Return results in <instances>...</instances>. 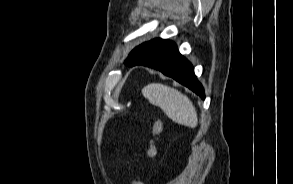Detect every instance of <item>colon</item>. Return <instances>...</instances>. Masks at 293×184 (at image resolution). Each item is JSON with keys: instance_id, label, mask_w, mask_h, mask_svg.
<instances>
[{"instance_id": "1", "label": "colon", "mask_w": 293, "mask_h": 184, "mask_svg": "<svg viewBox=\"0 0 293 184\" xmlns=\"http://www.w3.org/2000/svg\"><path fill=\"white\" fill-rule=\"evenodd\" d=\"M143 118L153 122L151 137L149 140V146L146 152V156L148 158H153L157 152L156 137L162 132V129H163L162 121L153 115L143 116ZM132 184H144V183L134 176L132 179Z\"/></svg>"}]
</instances>
